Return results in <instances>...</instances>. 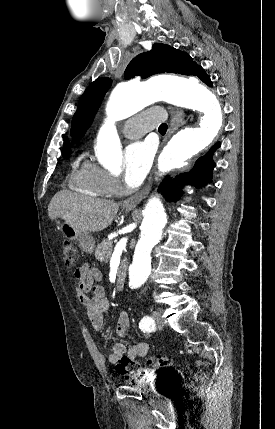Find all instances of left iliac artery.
Returning a JSON list of instances; mask_svg holds the SVG:
<instances>
[{"mask_svg":"<svg viewBox=\"0 0 275 429\" xmlns=\"http://www.w3.org/2000/svg\"><path fill=\"white\" fill-rule=\"evenodd\" d=\"M155 327L154 320L150 316H145L139 323V328L143 331H151Z\"/></svg>","mask_w":275,"mask_h":429,"instance_id":"left-iliac-artery-1","label":"left iliac artery"}]
</instances>
